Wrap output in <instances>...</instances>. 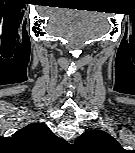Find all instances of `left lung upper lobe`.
I'll return each instance as SVG.
<instances>
[{"mask_svg":"<svg viewBox=\"0 0 135 153\" xmlns=\"http://www.w3.org/2000/svg\"><path fill=\"white\" fill-rule=\"evenodd\" d=\"M75 145L90 153H119L121 145L108 133L102 130H90L83 133Z\"/></svg>","mask_w":135,"mask_h":153,"instance_id":"left-lung-upper-lobe-1","label":"left lung upper lobe"}]
</instances>
